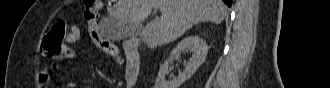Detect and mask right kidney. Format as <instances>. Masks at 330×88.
Masks as SVG:
<instances>
[{"label":"right kidney","instance_id":"ca27d5eb","mask_svg":"<svg viewBox=\"0 0 330 88\" xmlns=\"http://www.w3.org/2000/svg\"><path fill=\"white\" fill-rule=\"evenodd\" d=\"M190 51L192 56L188 61L185 70L179 73L178 77L166 81L165 76L169 73V63L182 53ZM208 52L206 42L199 36H188L182 39L171 51L169 59L160 66L154 88H179L195 71L203 64Z\"/></svg>","mask_w":330,"mask_h":88}]
</instances>
